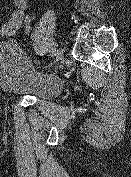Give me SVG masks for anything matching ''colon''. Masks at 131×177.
<instances>
[{"instance_id":"1","label":"colon","mask_w":131,"mask_h":177,"mask_svg":"<svg viewBox=\"0 0 131 177\" xmlns=\"http://www.w3.org/2000/svg\"><path fill=\"white\" fill-rule=\"evenodd\" d=\"M19 34H20V32L18 31L17 34H16V36H18Z\"/></svg>"}]
</instances>
